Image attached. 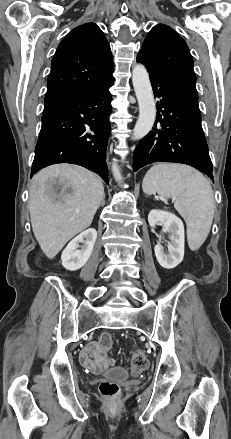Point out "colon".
I'll return each mask as SVG.
<instances>
[{
	"mask_svg": "<svg viewBox=\"0 0 231 439\" xmlns=\"http://www.w3.org/2000/svg\"><path fill=\"white\" fill-rule=\"evenodd\" d=\"M100 349L107 353L112 347V337L108 333L101 335L99 339ZM149 366V360L146 353L138 349L134 351L131 357V371L133 374H139L146 370ZM100 394L107 399H115L120 394V387L116 382L103 380L99 384Z\"/></svg>",
	"mask_w": 231,
	"mask_h": 439,
	"instance_id": "5ec220e1",
	"label": "colon"
}]
</instances>
